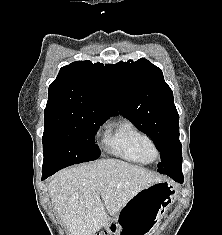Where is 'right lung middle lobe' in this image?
I'll return each mask as SVG.
<instances>
[{
	"label": "right lung middle lobe",
	"mask_w": 222,
	"mask_h": 235,
	"mask_svg": "<svg viewBox=\"0 0 222 235\" xmlns=\"http://www.w3.org/2000/svg\"><path fill=\"white\" fill-rule=\"evenodd\" d=\"M108 118L78 111L44 114L42 173L98 159L100 150L95 145V134Z\"/></svg>",
	"instance_id": "right-lung-middle-lobe-1"
}]
</instances>
